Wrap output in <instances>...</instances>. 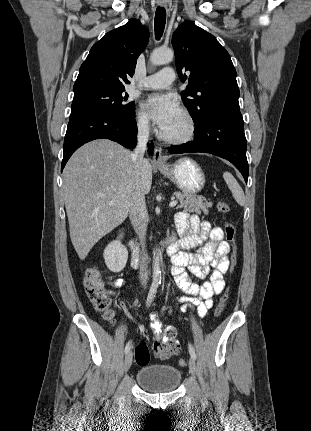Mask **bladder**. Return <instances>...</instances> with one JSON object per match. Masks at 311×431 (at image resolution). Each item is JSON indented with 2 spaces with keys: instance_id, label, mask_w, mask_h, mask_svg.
Here are the masks:
<instances>
[{
  "instance_id": "31cf9c89",
  "label": "bladder",
  "mask_w": 311,
  "mask_h": 431,
  "mask_svg": "<svg viewBox=\"0 0 311 431\" xmlns=\"http://www.w3.org/2000/svg\"><path fill=\"white\" fill-rule=\"evenodd\" d=\"M137 383L151 393H170L178 389L182 381V372L170 364H148L139 368Z\"/></svg>"
}]
</instances>
